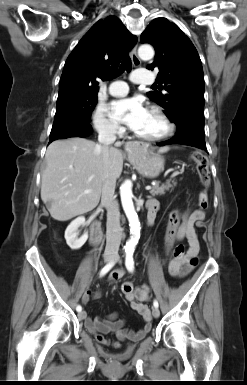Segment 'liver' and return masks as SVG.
<instances>
[{"label":"liver","mask_w":247,"mask_h":385,"mask_svg":"<svg viewBox=\"0 0 247 385\" xmlns=\"http://www.w3.org/2000/svg\"><path fill=\"white\" fill-rule=\"evenodd\" d=\"M46 162L41 199L53 219L67 221L98 205L105 178L117 179L122 173L123 154L114 147L105 151L91 140L71 137L52 142Z\"/></svg>","instance_id":"obj_1"}]
</instances>
